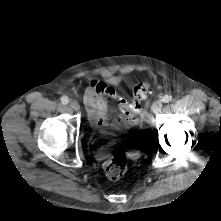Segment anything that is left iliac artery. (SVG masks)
I'll use <instances>...</instances> for the list:
<instances>
[{
    "mask_svg": "<svg viewBox=\"0 0 221 221\" xmlns=\"http://www.w3.org/2000/svg\"><path fill=\"white\" fill-rule=\"evenodd\" d=\"M172 100V96L171 95H165L163 98H162V101L164 103H168Z\"/></svg>",
    "mask_w": 221,
    "mask_h": 221,
    "instance_id": "1",
    "label": "left iliac artery"
}]
</instances>
